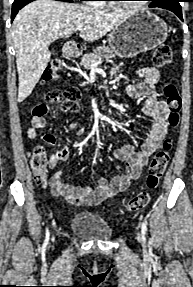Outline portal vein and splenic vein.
I'll use <instances>...</instances> for the list:
<instances>
[{
    "instance_id": "obj_1",
    "label": "portal vein and splenic vein",
    "mask_w": 193,
    "mask_h": 287,
    "mask_svg": "<svg viewBox=\"0 0 193 287\" xmlns=\"http://www.w3.org/2000/svg\"><path fill=\"white\" fill-rule=\"evenodd\" d=\"M83 29L82 26H78L75 28L76 31H81ZM102 63V60H99L98 62H95L91 65V69H96L98 67V65H100Z\"/></svg>"
}]
</instances>
